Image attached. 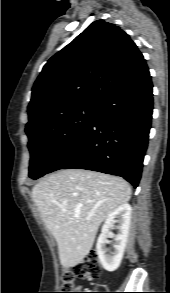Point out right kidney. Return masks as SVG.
Instances as JSON below:
<instances>
[{
	"mask_svg": "<svg viewBox=\"0 0 170 293\" xmlns=\"http://www.w3.org/2000/svg\"><path fill=\"white\" fill-rule=\"evenodd\" d=\"M131 211V206L125 203L105 219L101 234L97 239L96 250L103 268L107 271H115L121 264L130 228ZM114 223H117L118 234L114 236V245L111 250L106 247V243L107 234Z\"/></svg>",
	"mask_w": 170,
	"mask_h": 293,
	"instance_id": "right-kidney-1",
	"label": "right kidney"
}]
</instances>
